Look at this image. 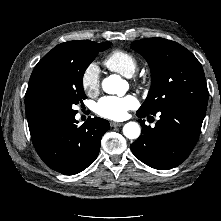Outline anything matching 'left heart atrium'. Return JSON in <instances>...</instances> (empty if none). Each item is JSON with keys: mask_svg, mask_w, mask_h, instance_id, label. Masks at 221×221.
<instances>
[{"mask_svg": "<svg viewBox=\"0 0 221 221\" xmlns=\"http://www.w3.org/2000/svg\"><path fill=\"white\" fill-rule=\"evenodd\" d=\"M138 106L134 95L104 96L95 104L94 111L99 116L110 120L126 118L128 111Z\"/></svg>", "mask_w": 221, "mask_h": 221, "instance_id": "1", "label": "left heart atrium"}]
</instances>
